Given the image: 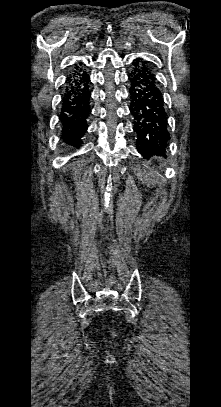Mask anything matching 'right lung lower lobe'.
I'll return each instance as SVG.
<instances>
[{"label":"right lung lower lobe","instance_id":"98d812e1","mask_svg":"<svg viewBox=\"0 0 221 407\" xmlns=\"http://www.w3.org/2000/svg\"><path fill=\"white\" fill-rule=\"evenodd\" d=\"M66 79L62 98L60 122L63 139L75 146L82 144L81 137L87 130V118L90 109V78L82 68V63L75 64Z\"/></svg>","mask_w":221,"mask_h":407}]
</instances>
